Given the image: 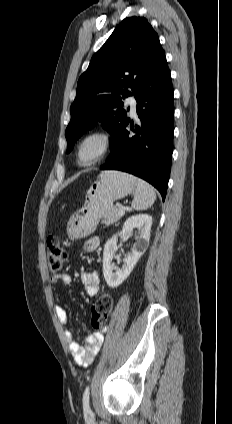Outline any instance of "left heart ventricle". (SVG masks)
<instances>
[{"label":"left heart ventricle","mask_w":232,"mask_h":424,"mask_svg":"<svg viewBox=\"0 0 232 424\" xmlns=\"http://www.w3.org/2000/svg\"><path fill=\"white\" fill-rule=\"evenodd\" d=\"M99 146H100L99 140L97 139L88 140L83 146V150H82L83 156L85 158L92 157L99 149Z\"/></svg>","instance_id":"1"}]
</instances>
